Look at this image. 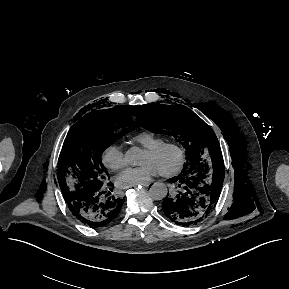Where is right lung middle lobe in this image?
Instances as JSON below:
<instances>
[{
  "mask_svg": "<svg viewBox=\"0 0 289 289\" xmlns=\"http://www.w3.org/2000/svg\"><path fill=\"white\" fill-rule=\"evenodd\" d=\"M134 106H122L114 113L84 116L72 128L64 143L58 181L64 198L71 199L102 187L108 173L101 161L103 151L138 127L132 119Z\"/></svg>",
  "mask_w": 289,
  "mask_h": 289,
  "instance_id": "1",
  "label": "right lung middle lobe"
}]
</instances>
